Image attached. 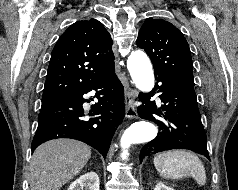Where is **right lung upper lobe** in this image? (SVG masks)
<instances>
[{"instance_id":"obj_1","label":"right lung upper lobe","mask_w":238,"mask_h":190,"mask_svg":"<svg viewBox=\"0 0 238 190\" xmlns=\"http://www.w3.org/2000/svg\"><path fill=\"white\" fill-rule=\"evenodd\" d=\"M112 45L110 34L96 19L72 24L53 48L42 103L63 101L114 72Z\"/></svg>"}]
</instances>
